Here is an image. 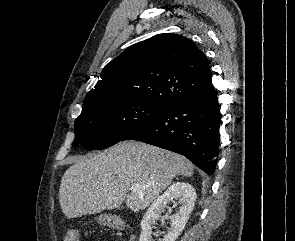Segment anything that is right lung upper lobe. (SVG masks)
Returning a JSON list of instances; mask_svg holds the SVG:
<instances>
[{
    "mask_svg": "<svg viewBox=\"0 0 295 241\" xmlns=\"http://www.w3.org/2000/svg\"><path fill=\"white\" fill-rule=\"evenodd\" d=\"M100 77L87 95L113 91L133 101L163 108L212 87L204 53L188 38L171 33L130 46L104 67Z\"/></svg>",
    "mask_w": 295,
    "mask_h": 241,
    "instance_id": "obj_1",
    "label": "right lung upper lobe"
}]
</instances>
